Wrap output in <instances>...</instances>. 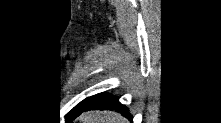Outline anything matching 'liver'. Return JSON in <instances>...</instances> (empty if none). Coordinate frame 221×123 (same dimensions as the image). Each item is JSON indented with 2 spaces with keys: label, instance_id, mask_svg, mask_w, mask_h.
<instances>
[{
  "label": "liver",
  "instance_id": "1",
  "mask_svg": "<svg viewBox=\"0 0 221 123\" xmlns=\"http://www.w3.org/2000/svg\"><path fill=\"white\" fill-rule=\"evenodd\" d=\"M81 123H129L121 114L113 111H89L79 117Z\"/></svg>",
  "mask_w": 221,
  "mask_h": 123
}]
</instances>
